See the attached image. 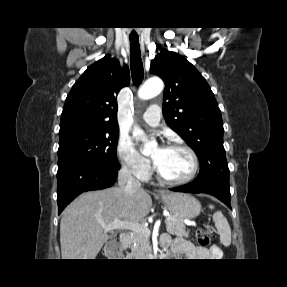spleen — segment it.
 <instances>
[{"mask_svg": "<svg viewBox=\"0 0 287 287\" xmlns=\"http://www.w3.org/2000/svg\"><path fill=\"white\" fill-rule=\"evenodd\" d=\"M210 209H213V205H209ZM213 221L220 234V241L224 246H229L231 244V228L230 225L222 214V212H216L213 215Z\"/></svg>", "mask_w": 287, "mask_h": 287, "instance_id": "obj_1", "label": "spleen"}]
</instances>
